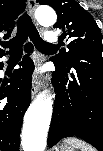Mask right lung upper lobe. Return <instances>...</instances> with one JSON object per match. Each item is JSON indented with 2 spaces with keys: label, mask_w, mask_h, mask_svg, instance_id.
Instances as JSON below:
<instances>
[{
  "label": "right lung upper lobe",
  "mask_w": 103,
  "mask_h": 151,
  "mask_svg": "<svg viewBox=\"0 0 103 151\" xmlns=\"http://www.w3.org/2000/svg\"><path fill=\"white\" fill-rule=\"evenodd\" d=\"M26 0L0 1V38H8L14 27L17 16L24 10ZM1 43V40H0ZM3 52L0 49V53Z\"/></svg>",
  "instance_id": "cb5924a9"
}]
</instances>
